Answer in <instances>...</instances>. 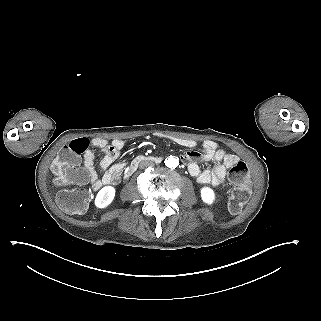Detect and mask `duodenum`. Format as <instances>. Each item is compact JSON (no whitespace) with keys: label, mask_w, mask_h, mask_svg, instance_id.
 <instances>
[{"label":"duodenum","mask_w":321,"mask_h":321,"mask_svg":"<svg viewBox=\"0 0 321 321\" xmlns=\"http://www.w3.org/2000/svg\"><path fill=\"white\" fill-rule=\"evenodd\" d=\"M144 161H150V162H160L161 159L159 157H154V156H145V155H140L138 157H136L131 163L130 165L127 167V169L125 170V177H129L130 175L133 174V172L137 169V167L139 166V164L141 162Z\"/></svg>","instance_id":"duodenum-1"}]
</instances>
